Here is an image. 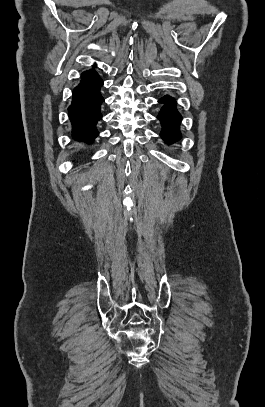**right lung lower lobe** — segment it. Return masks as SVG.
<instances>
[{
  "label": "right lung lower lobe",
  "instance_id": "1",
  "mask_svg": "<svg viewBox=\"0 0 265 407\" xmlns=\"http://www.w3.org/2000/svg\"><path fill=\"white\" fill-rule=\"evenodd\" d=\"M103 80L94 69L84 71L80 83L73 90L68 108L73 139L92 143L98 136L96 123L102 118L100 106L104 101L100 93Z\"/></svg>",
  "mask_w": 265,
  "mask_h": 407
}]
</instances>
